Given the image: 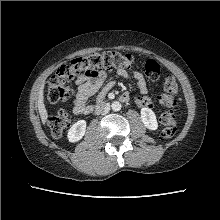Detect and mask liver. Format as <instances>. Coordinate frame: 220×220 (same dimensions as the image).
Here are the masks:
<instances>
[{
	"mask_svg": "<svg viewBox=\"0 0 220 220\" xmlns=\"http://www.w3.org/2000/svg\"><path fill=\"white\" fill-rule=\"evenodd\" d=\"M43 89H44V83L40 86L39 92H38V110H39V114L41 117V121L43 124L46 123L47 118H48V113L47 110L45 108V104H44V93H43Z\"/></svg>",
	"mask_w": 220,
	"mask_h": 220,
	"instance_id": "6515ba94",
	"label": "liver"
}]
</instances>
